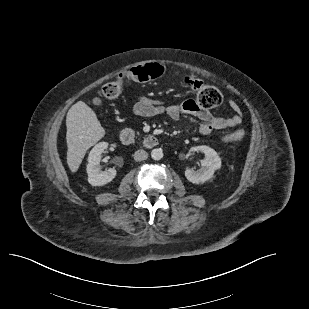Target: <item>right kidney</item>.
<instances>
[{"instance_id":"ca27d5eb","label":"right kidney","mask_w":309,"mask_h":309,"mask_svg":"<svg viewBox=\"0 0 309 309\" xmlns=\"http://www.w3.org/2000/svg\"><path fill=\"white\" fill-rule=\"evenodd\" d=\"M108 145L107 142H100L89 153L87 174L88 182L92 186H103L111 182L116 176V170L114 168L102 171L100 167L102 153L108 148Z\"/></svg>"}]
</instances>
